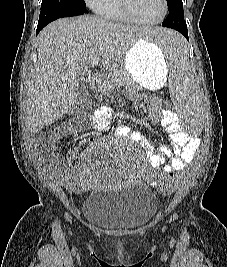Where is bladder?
Segmentation results:
<instances>
[{
	"label": "bladder",
	"mask_w": 227,
	"mask_h": 267,
	"mask_svg": "<svg viewBox=\"0 0 227 267\" xmlns=\"http://www.w3.org/2000/svg\"><path fill=\"white\" fill-rule=\"evenodd\" d=\"M155 194L145 186L120 189H93L82 212L86 221L108 230H127L147 224L156 214Z\"/></svg>",
	"instance_id": "bladder-1"
}]
</instances>
